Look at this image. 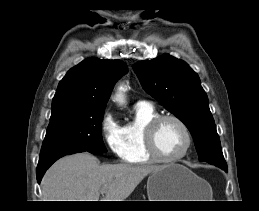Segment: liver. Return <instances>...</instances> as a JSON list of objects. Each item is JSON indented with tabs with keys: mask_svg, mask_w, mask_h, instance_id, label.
Instances as JSON below:
<instances>
[{
	"mask_svg": "<svg viewBox=\"0 0 259 211\" xmlns=\"http://www.w3.org/2000/svg\"><path fill=\"white\" fill-rule=\"evenodd\" d=\"M163 166L104 164L88 152L61 158L45 173L43 201H124L137 185ZM101 190H106L99 200Z\"/></svg>",
	"mask_w": 259,
	"mask_h": 211,
	"instance_id": "1",
	"label": "liver"
}]
</instances>
